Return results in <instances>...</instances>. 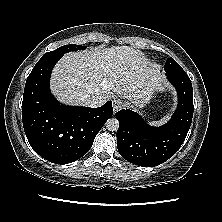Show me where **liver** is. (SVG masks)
Returning <instances> with one entry per match:
<instances>
[{
  "mask_svg": "<svg viewBox=\"0 0 222 222\" xmlns=\"http://www.w3.org/2000/svg\"><path fill=\"white\" fill-rule=\"evenodd\" d=\"M159 87V67L129 46L67 53L56 64L51 77L52 93L70 105H83L85 95L106 101L115 93L143 105Z\"/></svg>",
  "mask_w": 222,
  "mask_h": 222,
  "instance_id": "1",
  "label": "liver"
}]
</instances>
